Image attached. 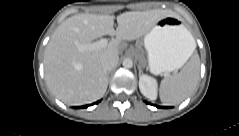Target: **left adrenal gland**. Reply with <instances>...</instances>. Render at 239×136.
Wrapping results in <instances>:
<instances>
[{
  "label": "left adrenal gland",
  "mask_w": 239,
  "mask_h": 136,
  "mask_svg": "<svg viewBox=\"0 0 239 136\" xmlns=\"http://www.w3.org/2000/svg\"><path fill=\"white\" fill-rule=\"evenodd\" d=\"M138 69H139V76H141L142 67L140 66V64L138 65Z\"/></svg>",
  "instance_id": "obj_1"
}]
</instances>
